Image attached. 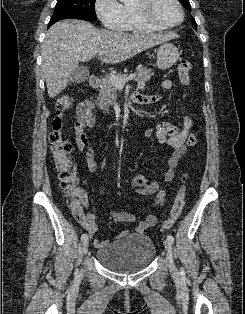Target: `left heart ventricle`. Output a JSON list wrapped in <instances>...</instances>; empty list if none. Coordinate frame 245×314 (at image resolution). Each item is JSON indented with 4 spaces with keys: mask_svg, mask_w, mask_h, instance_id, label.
I'll use <instances>...</instances> for the list:
<instances>
[{
    "mask_svg": "<svg viewBox=\"0 0 245 314\" xmlns=\"http://www.w3.org/2000/svg\"><path fill=\"white\" fill-rule=\"evenodd\" d=\"M153 14L165 23L174 24L181 20V12L173 0H156Z\"/></svg>",
    "mask_w": 245,
    "mask_h": 314,
    "instance_id": "1",
    "label": "left heart ventricle"
}]
</instances>
